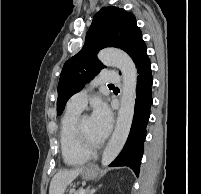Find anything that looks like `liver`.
<instances>
[{
    "instance_id": "liver-1",
    "label": "liver",
    "mask_w": 201,
    "mask_h": 194,
    "mask_svg": "<svg viewBox=\"0 0 201 194\" xmlns=\"http://www.w3.org/2000/svg\"><path fill=\"white\" fill-rule=\"evenodd\" d=\"M84 168L61 170L54 175L49 187V194H64L68 185L82 173Z\"/></svg>"
}]
</instances>
